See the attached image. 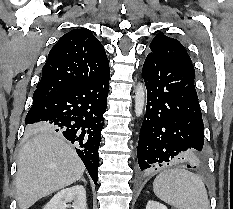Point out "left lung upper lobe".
<instances>
[{"label":"left lung upper lobe","mask_w":233,"mask_h":209,"mask_svg":"<svg viewBox=\"0 0 233 209\" xmlns=\"http://www.w3.org/2000/svg\"><path fill=\"white\" fill-rule=\"evenodd\" d=\"M151 53L167 61L182 65L194 72L192 61L184 46L176 39L159 32L150 44Z\"/></svg>","instance_id":"obj_1"}]
</instances>
